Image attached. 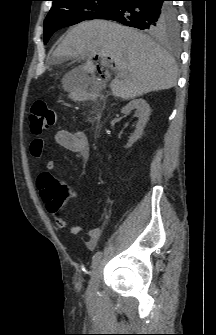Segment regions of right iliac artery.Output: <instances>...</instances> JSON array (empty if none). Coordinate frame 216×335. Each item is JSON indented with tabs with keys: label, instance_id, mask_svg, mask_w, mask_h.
<instances>
[{
	"label": "right iliac artery",
	"instance_id": "1",
	"mask_svg": "<svg viewBox=\"0 0 216 335\" xmlns=\"http://www.w3.org/2000/svg\"><path fill=\"white\" fill-rule=\"evenodd\" d=\"M101 256H102L101 251H98L94 254L92 258V265H91L92 268H94V266L98 263V261L101 259Z\"/></svg>",
	"mask_w": 216,
	"mask_h": 335
}]
</instances>
